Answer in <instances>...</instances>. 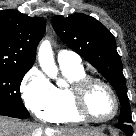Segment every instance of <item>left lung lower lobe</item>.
Here are the masks:
<instances>
[{"label":"left lung lower lobe","mask_w":136,"mask_h":136,"mask_svg":"<svg viewBox=\"0 0 136 136\" xmlns=\"http://www.w3.org/2000/svg\"><path fill=\"white\" fill-rule=\"evenodd\" d=\"M116 127L121 129L127 136H132V127L128 123H118Z\"/></svg>","instance_id":"1"}]
</instances>
